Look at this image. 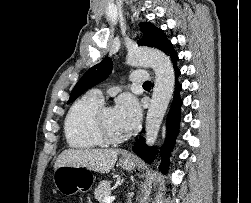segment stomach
I'll list each match as a JSON object with an SVG mask.
<instances>
[{
  "mask_svg": "<svg viewBox=\"0 0 251 203\" xmlns=\"http://www.w3.org/2000/svg\"><path fill=\"white\" fill-rule=\"evenodd\" d=\"M120 166L124 170H133L135 161L131 158H121ZM53 181L56 189L64 195H72L78 191H89L95 181L92 171L81 166L64 165L54 171Z\"/></svg>",
  "mask_w": 251,
  "mask_h": 203,
  "instance_id": "stomach-1",
  "label": "stomach"
}]
</instances>
